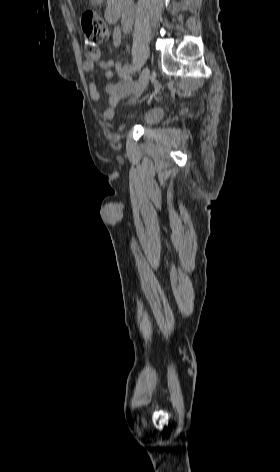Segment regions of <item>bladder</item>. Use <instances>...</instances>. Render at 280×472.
<instances>
[{
	"mask_svg": "<svg viewBox=\"0 0 280 472\" xmlns=\"http://www.w3.org/2000/svg\"><path fill=\"white\" fill-rule=\"evenodd\" d=\"M165 109L160 104H150L136 109L128 116V122L143 127L157 124L164 116Z\"/></svg>",
	"mask_w": 280,
	"mask_h": 472,
	"instance_id": "bladder-1",
	"label": "bladder"
}]
</instances>
